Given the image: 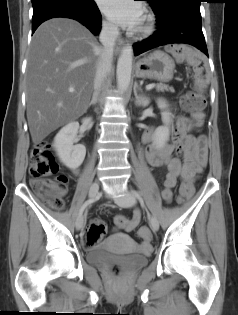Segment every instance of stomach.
Listing matches in <instances>:
<instances>
[{
    "label": "stomach",
    "instance_id": "obj_1",
    "mask_svg": "<svg viewBox=\"0 0 238 315\" xmlns=\"http://www.w3.org/2000/svg\"><path fill=\"white\" fill-rule=\"evenodd\" d=\"M135 69L136 76L139 78L168 82L173 78L175 63L167 53L156 50L140 59Z\"/></svg>",
    "mask_w": 238,
    "mask_h": 315
}]
</instances>
